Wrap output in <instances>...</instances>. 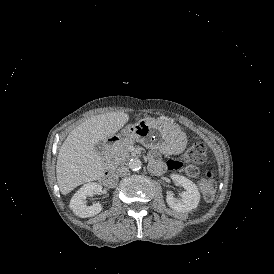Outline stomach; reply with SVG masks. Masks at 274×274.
<instances>
[{"label": "stomach", "instance_id": "0dacf381", "mask_svg": "<svg viewBox=\"0 0 274 274\" xmlns=\"http://www.w3.org/2000/svg\"><path fill=\"white\" fill-rule=\"evenodd\" d=\"M177 129L178 126L171 122L146 117L121 128L115 136L118 139L131 138L145 147L157 148L171 155L180 153L186 145L184 134L179 135Z\"/></svg>", "mask_w": 274, "mask_h": 274}]
</instances>
